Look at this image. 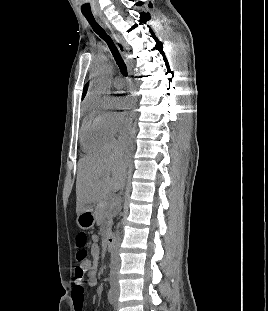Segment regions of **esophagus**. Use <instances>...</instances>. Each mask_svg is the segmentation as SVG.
Returning <instances> with one entry per match:
<instances>
[{
    "instance_id": "34e87169",
    "label": "esophagus",
    "mask_w": 268,
    "mask_h": 311,
    "mask_svg": "<svg viewBox=\"0 0 268 311\" xmlns=\"http://www.w3.org/2000/svg\"><path fill=\"white\" fill-rule=\"evenodd\" d=\"M100 20L101 22L103 23V25L109 30V32L111 33V36L112 38L114 39L119 51L121 53H123L125 51V47L120 39V37L117 35V33L115 32L114 28L111 26V24L109 23V21L103 17V16H100ZM136 95V94H135ZM134 117H135V112L134 110L132 109L130 112H129V116H128V122L129 124L132 123V121L134 120Z\"/></svg>"
}]
</instances>
